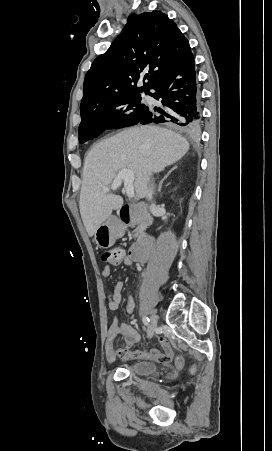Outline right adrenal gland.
Listing matches in <instances>:
<instances>
[{
	"mask_svg": "<svg viewBox=\"0 0 272 451\" xmlns=\"http://www.w3.org/2000/svg\"><path fill=\"white\" fill-rule=\"evenodd\" d=\"M177 166H175V168H172V170H170V172H168V174H166L165 178H163V180H161L159 186H158V192H161L162 190V184L164 182V180H166V178H168L169 174H171V172H173V170H176Z\"/></svg>",
	"mask_w": 272,
	"mask_h": 451,
	"instance_id": "obj_1",
	"label": "right adrenal gland"
}]
</instances>
